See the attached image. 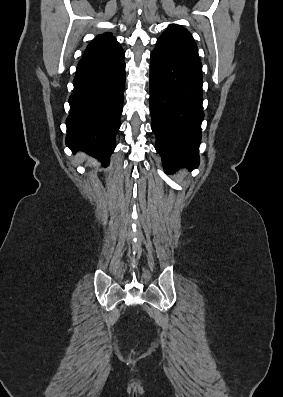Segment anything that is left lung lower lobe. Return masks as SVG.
<instances>
[{"instance_id":"0a47b994","label":"left lung lower lobe","mask_w":283,"mask_h":397,"mask_svg":"<svg viewBox=\"0 0 283 397\" xmlns=\"http://www.w3.org/2000/svg\"><path fill=\"white\" fill-rule=\"evenodd\" d=\"M202 69L156 43L150 63V113L156 151L167 172L199 165Z\"/></svg>"}]
</instances>
